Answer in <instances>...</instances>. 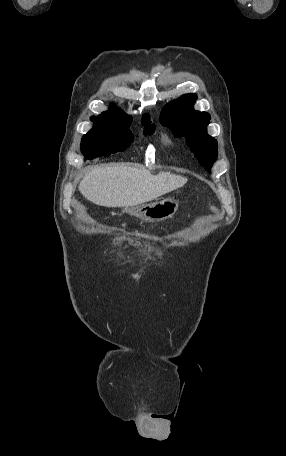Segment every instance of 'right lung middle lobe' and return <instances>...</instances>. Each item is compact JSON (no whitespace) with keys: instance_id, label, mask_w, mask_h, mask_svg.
Listing matches in <instances>:
<instances>
[{"instance_id":"obj_1","label":"right lung middle lobe","mask_w":286,"mask_h":456,"mask_svg":"<svg viewBox=\"0 0 286 456\" xmlns=\"http://www.w3.org/2000/svg\"><path fill=\"white\" fill-rule=\"evenodd\" d=\"M93 128L83 136L81 151L85 158L94 159L99 156H109L125 150L131 143L133 136L129 131V121H122L108 116L91 117ZM145 133L152 134L155 130L150 121L143 122Z\"/></svg>"}]
</instances>
